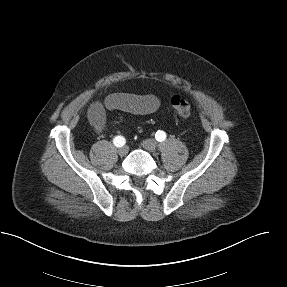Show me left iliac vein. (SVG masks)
<instances>
[{"mask_svg": "<svg viewBox=\"0 0 287 287\" xmlns=\"http://www.w3.org/2000/svg\"><path fill=\"white\" fill-rule=\"evenodd\" d=\"M143 148H145L149 152H156L158 148V143L154 139H146L142 142Z\"/></svg>", "mask_w": 287, "mask_h": 287, "instance_id": "4c4485c4", "label": "left iliac vein"}]
</instances>
